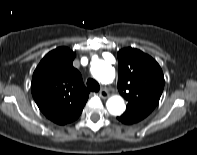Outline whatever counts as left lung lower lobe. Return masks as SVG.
Here are the masks:
<instances>
[{
	"label": "left lung lower lobe",
	"mask_w": 197,
	"mask_h": 155,
	"mask_svg": "<svg viewBox=\"0 0 197 155\" xmlns=\"http://www.w3.org/2000/svg\"><path fill=\"white\" fill-rule=\"evenodd\" d=\"M118 120H120L121 122L125 123V124H131V122H129L128 120L122 118L121 116L118 117Z\"/></svg>",
	"instance_id": "obj_1"
}]
</instances>
